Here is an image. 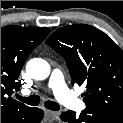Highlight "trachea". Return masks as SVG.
<instances>
[{"label": "trachea", "instance_id": "trachea-1", "mask_svg": "<svg viewBox=\"0 0 123 123\" xmlns=\"http://www.w3.org/2000/svg\"><path fill=\"white\" fill-rule=\"evenodd\" d=\"M18 100L28 104V105H31V106H37L39 105L40 103V97L37 96V95H31L29 97H22L20 95H16L15 96ZM44 106L47 108V109H50L52 111H58L60 110V105L54 101H45L44 103Z\"/></svg>", "mask_w": 123, "mask_h": 123}]
</instances>
